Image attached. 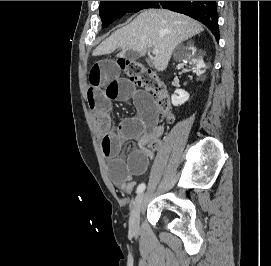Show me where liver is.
<instances>
[{"label":"liver","mask_w":271,"mask_h":266,"mask_svg":"<svg viewBox=\"0 0 271 266\" xmlns=\"http://www.w3.org/2000/svg\"><path fill=\"white\" fill-rule=\"evenodd\" d=\"M203 30L201 24L183 14L148 9L104 40L93 51V56L111 54L117 48L123 49L118 57H124L125 50L144 56L148 49L157 48L159 53L155 55L153 64L158 71H164L175 47Z\"/></svg>","instance_id":"liver-1"}]
</instances>
